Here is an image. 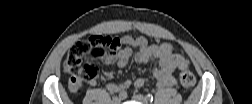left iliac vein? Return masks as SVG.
I'll list each match as a JSON object with an SVG mask.
<instances>
[{"label":"left iliac vein","instance_id":"4c4485c4","mask_svg":"<svg viewBox=\"0 0 252 104\" xmlns=\"http://www.w3.org/2000/svg\"><path fill=\"white\" fill-rule=\"evenodd\" d=\"M133 99L143 104L147 103L146 98L142 94H134Z\"/></svg>","mask_w":252,"mask_h":104}]
</instances>
